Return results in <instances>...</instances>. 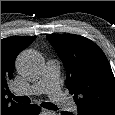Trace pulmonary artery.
Wrapping results in <instances>:
<instances>
[{
  "instance_id": "1",
  "label": "pulmonary artery",
  "mask_w": 115,
  "mask_h": 115,
  "mask_svg": "<svg viewBox=\"0 0 115 115\" xmlns=\"http://www.w3.org/2000/svg\"><path fill=\"white\" fill-rule=\"evenodd\" d=\"M59 62L56 60L47 61L40 79L29 86L25 94L46 93L53 101L57 102L64 110L71 111L75 105L64 95L59 85Z\"/></svg>"
}]
</instances>
